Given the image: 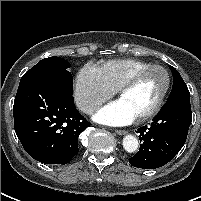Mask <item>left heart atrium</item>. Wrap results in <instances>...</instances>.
I'll list each match as a JSON object with an SVG mask.
<instances>
[{
  "instance_id": "left-heart-atrium-1",
  "label": "left heart atrium",
  "mask_w": 201,
  "mask_h": 201,
  "mask_svg": "<svg viewBox=\"0 0 201 201\" xmlns=\"http://www.w3.org/2000/svg\"><path fill=\"white\" fill-rule=\"evenodd\" d=\"M95 119L102 124L123 126L133 122L136 116L124 102L119 99L99 110Z\"/></svg>"
}]
</instances>
